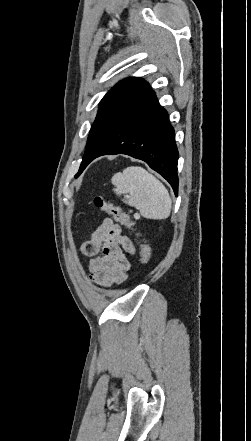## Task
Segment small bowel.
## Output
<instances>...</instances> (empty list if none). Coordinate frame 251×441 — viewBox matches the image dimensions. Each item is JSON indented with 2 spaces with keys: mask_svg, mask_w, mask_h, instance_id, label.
<instances>
[{
  "mask_svg": "<svg viewBox=\"0 0 251 441\" xmlns=\"http://www.w3.org/2000/svg\"><path fill=\"white\" fill-rule=\"evenodd\" d=\"M81 250L90 258L88 271L95 284L108 287L127 279L135 247L131 239L123 235L120 225L110 218L102 221L90 239L82 244Z\"/></svg>",
  "mask_w": 251,
  "mask_h": 441,
  "instance_id": "1",
  "label": "small bowel"
}]
</instances>
